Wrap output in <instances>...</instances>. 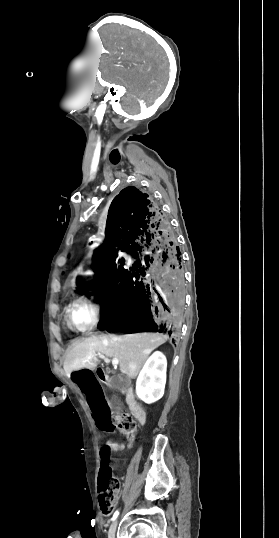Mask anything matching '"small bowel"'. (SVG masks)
Listing matches in <instances>:
<instances>
[{"label":"small bowel","mask_w":279,"mask_h":538,"mask_svg":"<svg viewBox=\"0 0 279 538\" xmlns=\"http://www.w3.org/2000/svg\"><path fill=\"white\" fill-rule=\"evenodd\" d=\"M108 445L111 447V449L115 452H123L126 449L125 444L121 442H108Z\"/></svg>","instance_id":"small-bowel-1"}]
</instances>
